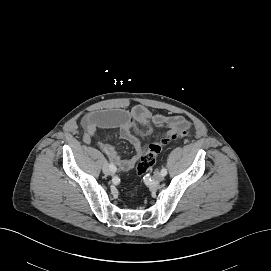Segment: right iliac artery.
Masks as SVG:
<instances>
[{
	"label": "right iliac artery",
	"mask_w": 271,
	"mask_h": 271,
	"mask_svg": "<svg viewBox=\"0 0 271 271\" xmlns=\"http://www.w3.org/2000/svg\"><path fill=\"white\" fill-rule=\"evenodd\" d=\"M101 148H102V150H103L105 153H107V152H106V149H105L102 145H101ZM109 167H110V169H111L112 172H116V171H117L116 166L113 165L112 163L109 164Z\"/></svg>",
	"instance_id": "1"
}]
</instances>
